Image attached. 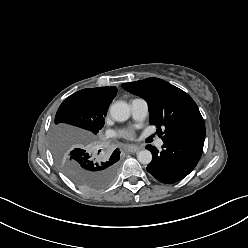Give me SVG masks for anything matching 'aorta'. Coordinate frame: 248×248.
<instances>
[{"label": "aorta", "instance_id": "obj_1", "mask_svg": "<svg viewBox=\"0 0 248 248\" xmlns=\"http://www.w3.org/2000/svg\"><path fill=\"white\" fill-rule=\"evenodd\" d=\"M110 115L115 121H126L130 117V107L124 101H116L110 107ZM137 159L141 164H149L152 154L149 150L144 149L138 152Z\"/></svg>", "mask_w": 248, "mask_h": 248}]
</instances>
